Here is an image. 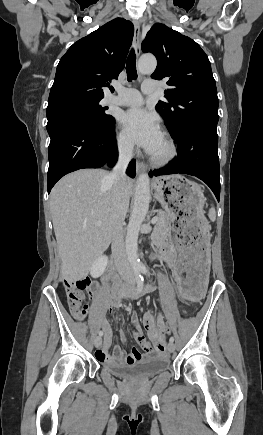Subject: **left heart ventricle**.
<instances>
[{"mask_svg": "<svg viewBox=\"0 0 263 435\" xmlns=\"http://www.w3.org/2000/svg\"><path fill=\"white\" fill-rule=\"evenodd\" d=\"M168 152V146L167 143L165 142V140L163 139L161 141V143L159 144V146L155 149V151L153 152V154L157 155V156H163Z\"/></svg>", "mask_w": 263, "mask_h": 435, "instance_id": "b2bd125f", "label": "left heart ventricle"}]
</instances>
